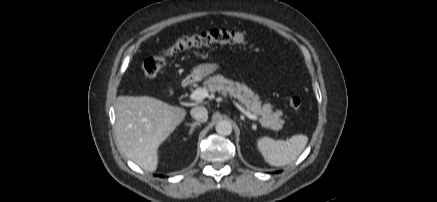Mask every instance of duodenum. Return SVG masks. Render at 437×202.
Returning <instances> with one entry per match:
<instances>
[{
	"mask_svg": "<svg viewBox=\"0 0 437 202\" xmlns=\"http://www.w3.org/2000/svg\"><path fill=\"white\" fill-rule=\"evenodd\" d=\"M193 82H194V78H193V77H187V78H185V79L183 80V82H182V86H183V88H187V87H189L190 85H192Z\"/></svg>",
	"mask_w": 437,
	"mask_h": 202,
	"instance_id": "duodenum-1",
	"label": "duodenum"
}]
</instances>
